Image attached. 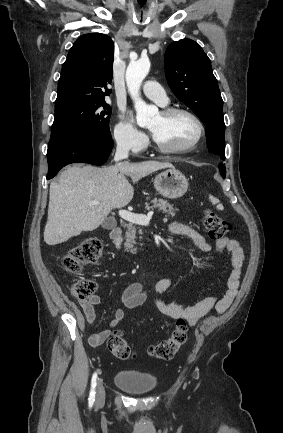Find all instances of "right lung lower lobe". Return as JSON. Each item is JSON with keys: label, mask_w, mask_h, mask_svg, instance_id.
<instances>
[{"label": "right lung lower lobe", "mask_w": 283, "mask_h": 433, "mask_svg": "<svg viewBox=\"0 0 283 433\" xmlns=\"http://www.w3.org/2000/svg\"><path fill=\"white\" fill-rule=\"evenodd\" d=\"M113 148L111 137L88 130H55L51 132L48 144V174L53 178L57 172L70 163L102 165Z\"/></svg>", "instance_id": "98d812e1"}]
</instances>
